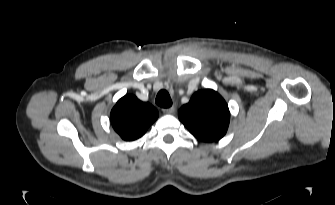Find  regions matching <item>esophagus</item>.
<instances>
[{
  "instance_id": "esophagus-1",
  "label": "esophagus",
  "mask_w": 335,
  "mask_h": 205,
  "mask_svg": "<svg viewBox=\"0 0 335 205\" xmlns=\"http://www.w3.org/2000/svg\"><path fill=\"white\" fill-rule=\"evenodd\" d=\"M176 110V107L175 106H172L170 108H164L162 109L163 113H166V114H173Z\"/></svg>"
}]
</instances>
